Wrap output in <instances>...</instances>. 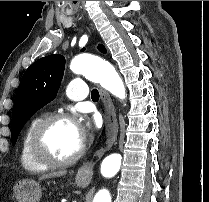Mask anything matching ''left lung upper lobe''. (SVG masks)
<instances>
[{
  "label": "left lung upper lobe",
  "mask_w": 209,
  "mask_h": 202,
  "mask_svg": "<svg viewBox=\"0 0 209 202\" xmlns=\"http://www.w3.org/2000/svg\"><path fill=\"white\" fill-rule=\"evenodd\" d=\"M98 49L106 53L103 45H99ZM84 50L85 48L81 51ZM64 69L65 58L59 54H52L37 60L25 71L16 92L12 111V145L16 143L21 129L31 116L56 97Z\"/></svg>",
  "instance_id": "5c2ea615"
}]
</instances>
